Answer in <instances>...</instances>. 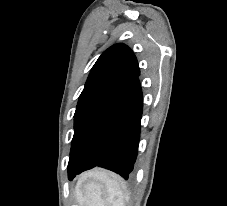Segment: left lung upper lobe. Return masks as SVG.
Segmentation results:
<instances>
[{
    "label": "left lung upper lobe",
    "mask_w": 227,
    "mask_h": 206,
    "mask_svg": "<svg viewBox=\"0 0 227 206\" xmlns=\"http://www.w3.org/2000/svg\"><path fill=\"white\" fill-rule=\"evenodd\" d=\"M139 74L137 59L125 44H115L100 55L91 69L74 114L68 169L86 155L96 125L108 104Z\"/></svg>",
    "instance_id": "left-lung-upper-lobe-1"
}]
</instances>
